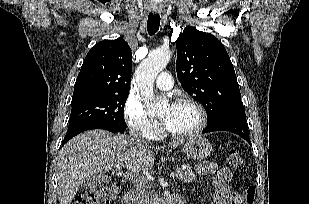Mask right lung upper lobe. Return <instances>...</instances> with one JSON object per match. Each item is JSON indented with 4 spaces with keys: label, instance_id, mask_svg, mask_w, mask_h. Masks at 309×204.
<instances>
[{
    "label": "right lung upper lobe",
    "instance_id": "right-lung-upper-lobe-1",
    "mask_svg": "<svg viewBox=\"0 0 309 204\" xmlns=\"http://www.w3.org/2000/svg\"><path fill=\"white\" fill-rule=\"evenodd\" d=\"M131 71V49L124 39L97 43L83 62L76 79L72 103L102 95L128 93Z\"/></svg>",
    "mask_w": 309,
    "mask_h": 204
}]
</instances>
